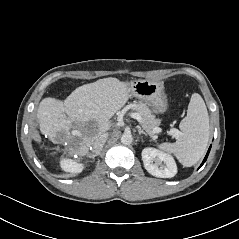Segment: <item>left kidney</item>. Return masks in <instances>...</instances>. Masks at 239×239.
Returning a JSON list of instances; mask_svg holds the SVG:
<instances>
[{
  "label": "left kidney",
  "mask_w": 239,
  "mask_h": 239,
  "mask_svg": "<svg viewBox=\"0 0 239 239\" xmlns=\"http://www.w3.org/2000/svg\"><path fill=\"white\" fill-rule=\"evenodd\" d=\"M142 160L145 169L158 178H172L177 173L174 158L155 148H145L142 151Z\"/></svg>",
  "instance_id": "obj_1"
}]
</instances>
